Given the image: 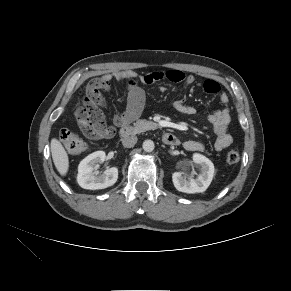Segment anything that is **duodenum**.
<instances>
[{"label": "duodenum", "mask_w": 291, "mask_h": 291, "mask_svg": "<svg viewBox=\"0 0 291 291\" xmlns=\"http://www.w3.org/2000/svg\"><path fill=\"white\" fill-rule=\"evenodd\" d=\"M134 132H135V129L131 125L125 124V125L121 126L119 134L122 138H127V137L132 136L134 134ZM162 140L167 145H177L178 144L177 137L172 133H164L162 135Z\"/></svg>", "instance_id": "410a0bca"}]
</instances>
